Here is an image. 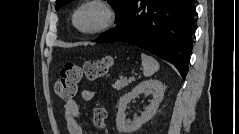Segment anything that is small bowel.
Returning a JSON list of instances; mask_svg holds the SVG:
<instances>
[{"label":"small bowel","mask_w":239,"mask_h":134,"mask_svg":"<svg viewBox=\"0 0 239 134\" xmlns=\"http://www.w3.org/2000/svg\"><path fill=\"white\" fill-rule=\"evenodd\" d=\"M81 96L85 100H91L95 96V91L85 89L81 92ZM64 113L70 134H85L82 115L77 101L73 99L66 101L64 104Z\"/></svg>","instance_id":"small-bowel-1"}]
</instances>
